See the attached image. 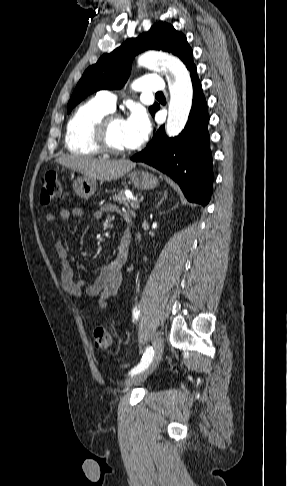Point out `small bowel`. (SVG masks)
<instances>
[{
	"instance_id": "obj_1",
	"label": "small bowel",
	"mask_w": 287,
	"mask_h": 486,
	"mask_svg": "<svg viewBox=\"0 0 287 486\" xmlns=\"http://www.w3.org/2000/svg\"><path fill=\"white\" fill-rule=\"evenodd\" d=\"M104 213L124 215L122 210L113 204L104 205L101 209L92 212V218L99 220ZM84 210L80 207L63 209L58 215L48 213L45 222L55 223L58 220L67 221L72 217L81 218ZM130 246V235L124 232L116 246V256L109 262L98 267L94 276L75 280L68 260V251L60 240L54 244V250L60 263L62 287L70 295L81 297L85 292L87 296L98 299L101 307L106 306L107 300L114 296L122 283V269L127 261Z\"/></svg>"
}]
</instances>
